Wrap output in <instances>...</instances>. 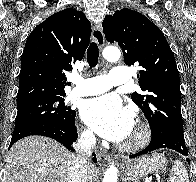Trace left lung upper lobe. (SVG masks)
<instances>
[{
    "label": "left lung upper lobe",
    "instance_id": "left-lung-upper-lobe-1",
    "mask_svg": "<svg viewBox=\"0 0 196 182\" xmlns=\"http://www.w3.org/2000/svg\"><path fill=\"white\" fill-rule=\"evenodd\" d=\"M105 37L118 42L126 65L139 64V86L146 95L132 100L147 118L152 135L169 131L183 135L181 92L175 58L162 31L148 18L123 8L105 17Z\"/></svg>",
    "mask_w": 196,
    "mask_h": 182
}]
</instances>
